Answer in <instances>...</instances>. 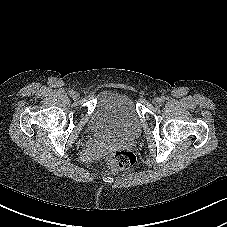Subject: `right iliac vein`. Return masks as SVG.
I'll list each match as a JSON object with an SVG mask.
<instances>
[{"instance_id": "right-iliac-vein-1", "label": "right iliac vein", "mask_w": 227, "mask_h": 227, "mask_svg": "<svg viewBox=\"0 0 227 227\" xmlns=\"http://www.w3.org/2000/svg\"><path fill=\"white\" fill-rule=\"evenodd\" d=\"M72 98L74 100H78L80 98V95L78 93H74L73 96H72Z\"/></svg>"}]
</instances>
